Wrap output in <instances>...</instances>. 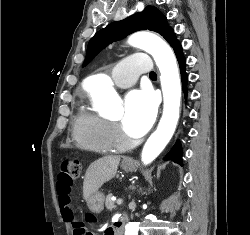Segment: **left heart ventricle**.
<instances>
[{"instance_id": "left-heart-ventricle-1", "label": "left heart ventricle", "mask_w": 250, "mask_h": 235, "mask_svg": "<svg viewBox=\"0 0 250 235\" xmlns=\"http://www.w3.org/2000/svg\"><path fill=\"white\" fill-rule=\"evenodd\" d=\"M121 119V116H119L118 118H116L115 120H120Z\"/></svg>"}]
</instances>
